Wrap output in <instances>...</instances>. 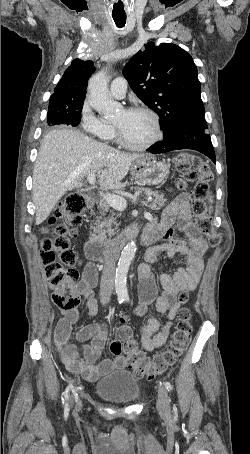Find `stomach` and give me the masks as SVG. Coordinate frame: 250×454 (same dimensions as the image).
I'll return each mask as SVG.
<instances>
[{
    "instance_id": "stomach-1",
    "label": "stomach",
    "mask_w": 250,
    "mask_h": 454,
    "mask_svg": "<svg viewBox=\"0 0 250 454\" xmlns=\"http://www.w3.org/2000/svg\"><path fill=\"white\" fill-rule=\"evenodd\" d=\"M169 163L157 161L151 155H142L133 162L131 173L143 185H156L165 180L169 173Z\"/></svg>"
}]
</instances>
